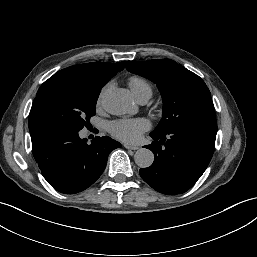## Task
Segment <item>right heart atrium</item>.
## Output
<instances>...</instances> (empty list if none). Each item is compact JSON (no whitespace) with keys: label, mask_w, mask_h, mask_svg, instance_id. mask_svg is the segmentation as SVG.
I'll list each match as a JSON object with an SVG mask.
<instances>
[{"label":"right heart atrium","mask_w":257,"mask_h":257,"mask_svg":"<svg viewBox=\"0 0 257 257\" xmlns=\"http://www.w3.org/2000/svg\"><path fill=\"white\" fill-rule=\"evenodd\" d=\"M103 91L100 93L99 98L97 100V105L100 106L102 103Z\"/></svg>","instance_id":"obj_1"}]
</instances>
